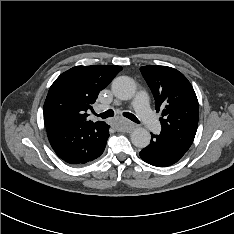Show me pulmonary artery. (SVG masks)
<instances>
[{
	"instance_id": "pulmonary-artery-1",
	"label": "pulmonary artery",
	"mask_w": 234,
	"mask_h": 234,
	"mask_svg": "<svg viewBox=\"0 0 234 234\" xmlns=\"http://www.w3.org/2000/svg\"><path fill=\"white\" fill-rule=\"evenodd\" d=\"M134 106L148 130H156L159 127V122L148 107V97L145 92L137 94Z\"/></svg>"
}]
</instances>
